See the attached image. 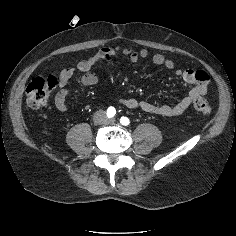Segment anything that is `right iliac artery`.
Segmentation results:
<instances>
[{
  "label": "right iliac artery",
  "mask_w": 236,
  "mask_h": 236,
  "mask_svg": "<svg viewBox=\"0 0 236 236\" xmlns=\"http://www.w3.org/2000/svg\"><path fill=\"white\" fill-rule=\"evenodd\" d=\"M115 114H116V110H115L114 107H109V108L107 109V116H108L109 118L113 117Z\"/></svg>",
  "instance_id": "82829eb1"
}]
</instances>
